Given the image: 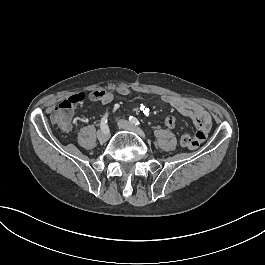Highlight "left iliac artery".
<instances>
[{
  "instance_id": "1",
  "label": "left iliac artery",
  "mask_w": 265,
  "mask_h": 265,
  "mask_svg": "<svg viewBox=\"0 0 265 265\" xmlns=\"http://www.w3.org/2000/svg\"><path fill=\"white\" fill-rule=\"evenodd\" d=\"M129 121L131 122V123H133V124H135V125H140V122L138 121V119L137 118H135V117H133V116H130L129 117Z\"/></svg>"
}]
</instances>
